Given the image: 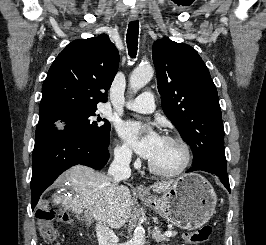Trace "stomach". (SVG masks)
I'll list each match as a JSON object with an SVG mask.
<instances>
[{
	"mask_svg": "<svg viewBox=\"0 0 266 245\" xmlns=\"http://www.w3.org/2000/svg\"><path fill=\"white\" fill-rule=\"evenodd\" d=\"M137 197L157 215L186 231H195L206 225L217 205L212 185L198 173L178 177L162 197Z\"/></svg>",
	"mask_w": 266,
	"mask_h": 245,
	"instance_id": "stomach-1",
	"label": "stomach"
}]
</instances>
